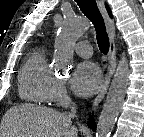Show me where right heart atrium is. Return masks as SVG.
<instances>
[{
  "instance_id": "obj_1",
  "label": "right heart atrium",
  "mask_w": 144,
  "mask_h": 137,
  "mask_svg": "<svg viewBox=\"0 0 144 137\" xmlns=\"http://www.w3.org/2000/svg\"><path fill=\"white\" fill-rule=\"evenodd\" d=\"M70 100L71 98L67 90L66 82L63 79H57L52 101L57 105L66 106L70 103Z\"/></svg>"
}]
</instances>
